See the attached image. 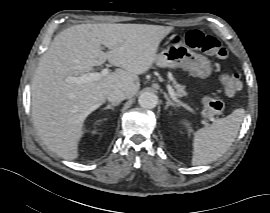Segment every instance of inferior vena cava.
Wrapping results in <instances>:
<instances>
[{"label":"inferior vena cava","mask_w":270,"mask_h":213,"mask_svg":"<svg viewBox=\"0 0 270 213\" xmlns=\"http://www.w3.org/2000/svg\"><path fill=\"white\" fill-rule=\"evenodd\" d=\"M127 98V94L119 89L113 90L108 94L107 100L113 104L119 103Z\"/></svg>","instance_id":"inferior-vena-cava-1"}]
</instances>
